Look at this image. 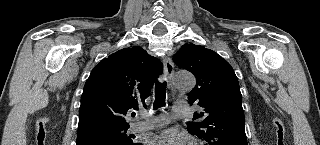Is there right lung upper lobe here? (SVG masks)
<instances>
[{"instance_id": "1", "label": "right lung upper lobe", "mask_w": 320, "mask_h": 145, "mask_svg": "<svg viewBox=\"0 0 320 145\" xmlns=\"http://www.w3.org/2000/svg\"><path fill=\"white\" fill-rule=\"evenodd\" d=\"M162 63L139 46L124 48L92 70L83 89L78 136L102 128L129 127L128 109L144 104Z\"/></svg>"}]
</instances>
